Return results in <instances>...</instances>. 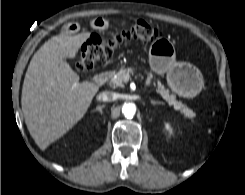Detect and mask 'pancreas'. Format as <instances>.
Here are the masks:
<instances>
[{
	"label": "pancreas",
	"instance_id": "1",
	"mask_svg": "<svg viewBox=\"0 0 245 195\" xmlns=\"http://www.w3.org/2000/svg\"><path fill=\"white\" fill-rule=\"evenodd\" d=\"M133 68H125L120 69L117 72H110L108 73V83L110 86L116 88V87H123L125 78L128 77L131 73H133ZM152 76V74H150ZM154 87L156 88V92L161 95V97L170 105L173 106L175 110H178L181 114H183L186 118L191 119L193 122V118L195 116V113L193 110L189 109L186 105H184L182 102L177 101L175 95L171 94L169 90L165 88V86L157 80L156 83H154Z\"/></svg>",
	"mask_w": 245,
	"mask_h": 195
}]
</instances>
